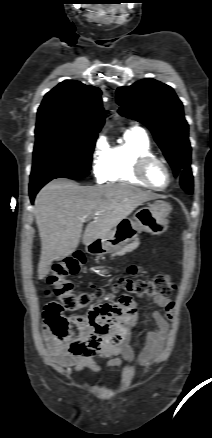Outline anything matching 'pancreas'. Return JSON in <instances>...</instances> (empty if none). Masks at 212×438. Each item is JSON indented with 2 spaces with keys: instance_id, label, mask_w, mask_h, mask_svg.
<instances>
[{
  "instance_id": "obj_1",
  "label": "pancreas",
  "mask_w": 212,
  "mask_h": 438,
  "mask_svg": "<svg viewBox=\"0 0 212 438\" xmlns=\"http://www.w3.org/2000/svg\"><path fill=\"white\" fill-rule=\"evenodd\" d=\"M138 246H139V241H138V239H136L132 243H129V244L125 245L123 248L116 251V253H114L113 255H123L127 252H131V251L135 250Z\"/></svg>"
}]
</instances>
